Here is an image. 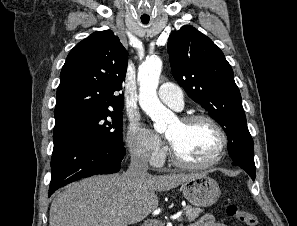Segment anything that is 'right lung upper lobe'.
Instances as JSON below:
<instances>
[{
  "instance_id": "cb5924a9",
  "label": "right lung upper lobe",
  "mask_w": 297,
  "mask_h": 226,
  "mask_svg": "<svg viewBox=\"0 0 297 226\" xmlns=\"http://www.w3.org/2000/svg\"><path fill=\"white\" fill-rule=\"evenodd\" d=\"M128 53L110 30L97 31L68 54L60 73L55 120L83 111L122 110Z\"/></svg>"
}]
</instances>
